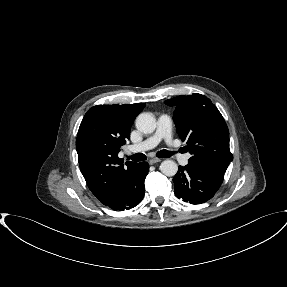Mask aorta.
<instances>
[{
	"mask_svg": "<svg viewBox=\"0 0 287 287\" xmlns=\"http://www.w3.org/2000/svg\"><path fill=\"white\" fill-rule=\"evenodd\" d=\"M157 122L152 113H141L136 118V128L144 133H153ZM160 171L166 176H174L178 171V165L173 160H164L160 165Z\"/></svg>",
	"mask_w": 287,
	"mask_h": 287,
	"instance_id": "1",
	"label": "aorta"
}]
</instances>
